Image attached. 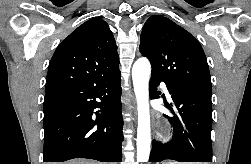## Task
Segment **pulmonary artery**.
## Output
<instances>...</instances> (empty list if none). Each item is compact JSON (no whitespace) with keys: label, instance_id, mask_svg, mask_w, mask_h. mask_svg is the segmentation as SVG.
<instances>
[{"label":"pulmonary artery","instance_id":"e3ab8cb5","mask_svg":"<svg viewBox=\"0 0 251 164\" xmlns=\"http://www.w3.org/2000/svg\"><path fill=\"white\" fill-rule=\"evenodd\" d=\"M162 87H163L164 91L167 93V95L169 96V93L167 91V88H166L165 84H163Z\"/></svg>","mask_w":251,"mask_h":164}]
</instances>
